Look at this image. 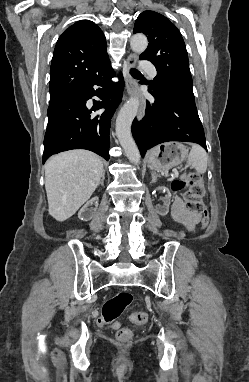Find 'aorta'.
<instances>
[{"instance_id": "obj_1", "label": "aorta", "mask_w": 249, "mask_h": 382, "mask_svg": "<svg viewBox=\"0 0 249 382\" xmlns=\"http://www.w3.org/2000/svg\"><path fill=\"white\" fill-rule=\"evenodd\" d=\"M148 40L143 34H135L130 40V46L136 53L146 50ZM139 108L137 97L130 98L118 113L116 119V136L127 158L133 164L140 163V153L131 135V125Z\"/></svg>"}]
</instances>
